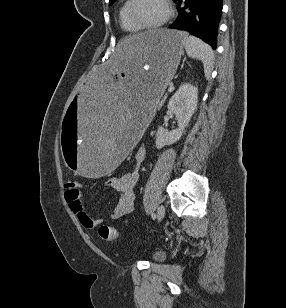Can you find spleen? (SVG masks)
Segmentation results:
<instances>
[{"label":"spleen","instance_id":"obj_1","mask_svg":"<svg viewBox=\"0 0 286 308\" xmlns=\"http://www.w3.org/2000/svg\"><path fill=\"white\" fill-rule=\"evenodd\" d=\"M185 49L189 57L203 63L205 77L209 79L214 65V53L211 47L201 39L189 36L186 39Z\"/></svg>","mask_w":286,"mask_h":308}]
</instances>
